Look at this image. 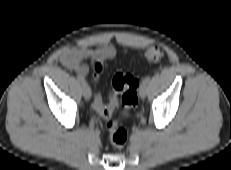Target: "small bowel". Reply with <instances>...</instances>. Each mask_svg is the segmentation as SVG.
Returning <instances> with one entry per match:
<instances>
[{
  "mask_svg": "<svg viewBox=\"0 0 231 170\" xmlns=\"http://www.w3.org/2000/svg\"><path fill=\"white\" fill-rule=\"evenodd\" d=\"M117 54V48L111 43H105L97 48H91L88 45L66 48L60 61L64 67L85 76L89 73L91 66L96 62L113 58Z\"/></svg>",
  "mask_w": 231,
  "mask_h": 170,
  "instance_id": "c3829d8e",
  "label": "small bowel"
}]
</instances>
